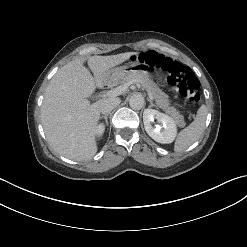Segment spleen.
I'll return each mask as SVG.
<instances>
[{"label":"spleen","mask_w":247,"mask_h":247,"mask_svg":"<svg viewBox=\"0 0 247 247\" xmlns=\"http://www.w3.org/2000/svg\"><path fill=\"white\" fill-rule=\"evenodd\" d=\"M206 116L207 108L202 105L198 109L194 121L179 132L174 144L175 152L184 151L199 139L205 128Z\"/></svg>","instance_id":"spleen-1"}]
</instances>
